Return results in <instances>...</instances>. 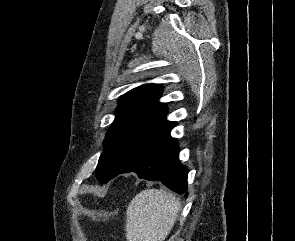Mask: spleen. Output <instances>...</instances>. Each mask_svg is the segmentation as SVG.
I'll use <instances>...</instances> for the list:
<instances>
[{
    "label": "spleen",
    "mask_w": 295,
    "mask_h": 241,
    "mask_svg": "<svg viewBox=\"0 0 295 241\" xmlns=\"http://www.w3.org/2000/svg\"><path fill=\"white\" fill-rule=\"evenodd\" d=\"M180 207L179 200L165 190L141 191L127 208V241H164L174 226Z\"/></svg>",
    "instance_id": "spleen-1"
}]
</instances>
